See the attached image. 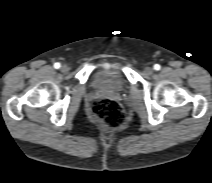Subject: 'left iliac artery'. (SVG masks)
Here are the masks:
<instances>
[{
  "instance_id": "44dca946",
  "label": "left iliac artery",
  "mask_w": 212,
  "mask_h": 183,
  "mask_svg": "<svg viewBox=\"0 0 212 183\" xmlns=\"http://www.w3.org/2000/svg\"><path fill=\"white\" fill-rule=\"evenodd\" d=\"M160 68H161V66H160L159 64H155V65H154V69H155V70L158 71V70H160Z\"/></svg>"
}]
</instances>
